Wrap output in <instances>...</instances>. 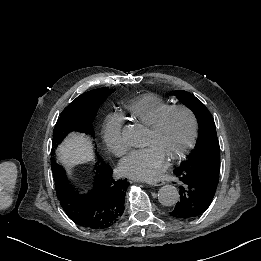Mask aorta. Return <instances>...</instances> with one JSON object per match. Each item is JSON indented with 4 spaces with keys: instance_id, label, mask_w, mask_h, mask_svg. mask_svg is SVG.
Listing matches in <instances>:
<instances>
[{
    "instance_id": "aorta-1",
    "label": "aorta",
    "mask_w": 261,
    "mask_h": 261,
    "mask_svg": "<svg viewBox=\"0 0 261 261\" xmlns=\"http://www.w3.org/2000/svg\"><path fill=\"white\" fill-rule=\"evenodd\" d=\"M144 132L138 125H126L122 131L123 140L132 147H140ZM180 195L177 188L167 184L158 191V200L163 206H173L179 201Z\"/></svg>"
}]
</instances>
